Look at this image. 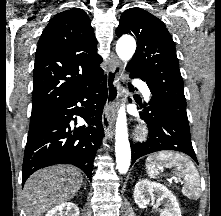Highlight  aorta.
Segmentation results:
<instances>
[{
  "instance_id": "1",
  "label": "aorta",
  "mask_w": 221,
  "mask_h": 216,
  "mask_svg": "<svg viewBox=\"0 0 221 216\" xmlns=\"http://www.w3.org/2000/svg\"><path fill=\"white\" fill-rule=\"evenodd\" d=\"M136 50V42L130 35L122 36L116 44L118 57L127 63ZM115 152L117 169L121 174L127 173L131 162V149L128 140L127 118L125 106L122 105L118 111L115 130Z\"/></svg>"
}]
</instances>
